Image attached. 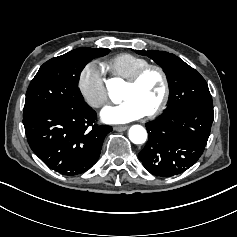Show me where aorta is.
<instances>
[{"instance_id": "1", "label": "aorta", "mask_w": 237, "mask_h": 237, "mask_svg": "<svg viewBox=\"0 0 237 237\" xmlns=\"http://www.w3.org/2000/svg\"><path fill=\"white\" fill-rule=\"evenodd\" d=\"M129 139L134 144H143L147 140V131L141 125H133L128 133Z\"/></svg>"}]
</instances>
